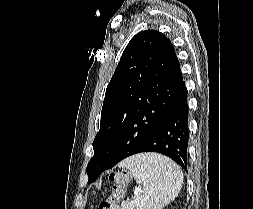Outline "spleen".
I'll return each instance as SVG.
<instances>
[{
  "label": "spleen",
  "mask_w": 253,
  "mask_h": 209,
  "mask_svg": "<svg viewBox=\"0 0 253 209\" xmlns=\"http://www.w3.org/2000/svg\"><path fill=\"white\" fill-rule=\"evenodd\" d=\"M120 167L129 169L142 188L133 200L121 203L122 209H162L175 200L182 188L180 167L160 154H137L123 160Z\"/></svg>",
  "instance_id": "1"
}]
</instances>
